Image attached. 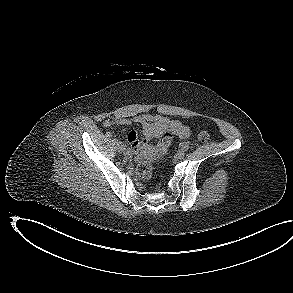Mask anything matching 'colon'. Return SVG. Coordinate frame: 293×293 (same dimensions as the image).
Returning a JSON list of instances; mask_svg holds the SVG:
<instances>
[{
	"mask_svg": "<svg viewBox=\"0 0 293 293\" xmlns=\"http://www.w3.org/2000/svg\"><path fill=\"white\" fill-rule=\"evenodd\" d=\"M197 139L200 142H207L209 140V134L205 131H201L197 134ZM172 142V134L165 132L160 136L159 143L157 145V153L160 155L165 154ZM138 176L141 179L147 180L152 176V166L149 161H142L137 167Z\"/></svg>",
	"mask_w": 293,
	"mask_h": 293,
	"instance_id": "obj_1",
	"label": "colon"
}]
</instances>
